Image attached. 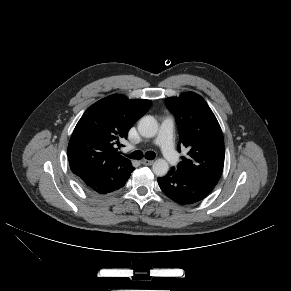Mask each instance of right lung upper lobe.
<instances>
[{"label":"right lung upper lobe","mask_w":291,"mask_h":291,"mask_svg":"<svg viewBox=\"0 0 291 291\" xmlns=\"http://www.w3.org/2000/svg\"><path fill=\"white\" fill-rule=\"evenodd\" d=\"M150 107L149 100H130L121 94L108 96L91 105L77 123L69 141L67 152L72 172L82 179L110 166L131 169L130 160L119 156L116 147Z\"/></svg>","instance_id":"1"}]
</instances>
